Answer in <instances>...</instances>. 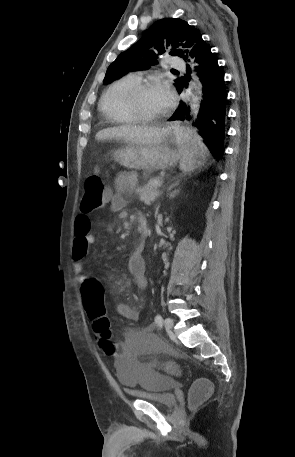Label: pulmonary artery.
Masks as SVG:
<instances>
[{
    "label": "pulmonary artery",
    "mask_w": 295,
    "mask_h": 457,
    "mask_svg": "<svg viewBox=\"0 0 295 457\" xmlns=\"http://www.w3.org/2000/svg\"><path fill=\"white\" fill-rule=\"evenodd\" d=\"M168 64L173 69L182 70L185 67L184 62L178 57H171L168 60ZM136 77V76H135Z\"/></svg>",
    "instance_id": "1"
}]
</instances>
